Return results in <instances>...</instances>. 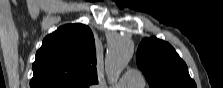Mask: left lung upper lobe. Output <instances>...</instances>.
Masks as SVG:
<instances>
[{
  "label": "left lung upper lobe",
  "mask_w": 223,
  "mask_h": 88,
  "mask_svg": "<svg viewBox=\"0 0 223 88\" xmlns=\"http://www.w3.org/2000/svg\"><path fill=\"white\" fill-rule=\"evenodd\" d=\"M136 61L150 88H197L185 62L163 40L156 37L142 40Z\"/></svg>",
  "instance_id": "obj_1"
}]
</instances>
